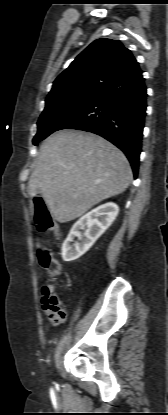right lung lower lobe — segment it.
<instances>
[{
  "mask_svg": "<svg viewBox=\"0 0 168 415\" xmlns=\"http://www.w3.org/2000/svg\"><path fill=\"white\" fill-rule=\"evenodd\" d=\"M146 86L137 65L107 86L102 94L58 130L77 129L107 139L128 158L137 177L146 115Z\"/></svg>",
  "mask_w": 168,
  "mask_h": 415,
  "instance_id": "obj_1",
  "label": "right lung lower lobe"
}]
</instances>
